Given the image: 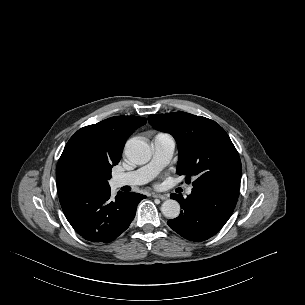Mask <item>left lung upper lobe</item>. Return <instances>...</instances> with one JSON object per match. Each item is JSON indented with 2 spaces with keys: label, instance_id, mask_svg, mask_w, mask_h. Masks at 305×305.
<instances>
[{
  "label": "left lung upper lobe",
  "instance_id": "obj_1",
  "mask_svg": "<svg viewBox=\"0 0 305 305\" xmlns=\"http://www.w3.org/2000/svg\"><path fill=\"white\" fill-rule=\"evenodd\" d=\"M148 121L175 138L179 150L177 173L185 175L187 182L194 177L193 188L241 180L239 154L215 121L185 112L149 115Z\"/></svg>",
  "mask_w": 305,
  "mask_h": 305
}]
</instances>
